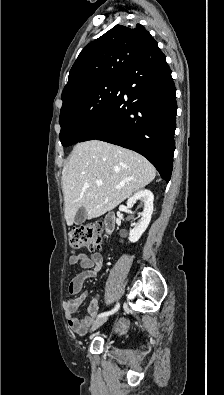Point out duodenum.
<instances>
[{"label":"duodenum","mask_w":224,"mask_h":395,"mask_svg":"<svg viewBox=\"0 0 224 395\" xmlns=\"http://www.w3.org/2000/svg\"><path fill=\"white\" fill-rule=\"evenodd\" d=\"M116 216L114 214H108L104 219V229L107 234H111L115 228Z\"/></svg>","instance_id":"1"}]
</instances>
